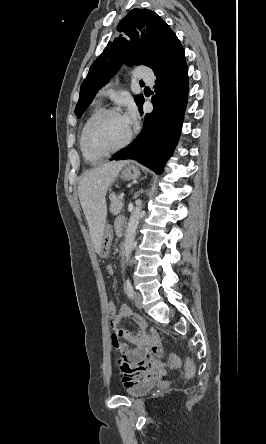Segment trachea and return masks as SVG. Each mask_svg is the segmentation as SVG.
<instances>
[{"mask_svg": "<svg viewBox=\"0 0 266 444\" xmlns=\"http://www.w3.org/2000/svg\"><path fill=\"white\" fill-rule=\"evenodd\" d=\"M140 83H141V84H144V82H143L142 80L140 81Z\"/></svg>", "mask_w": 266, "mask_h": 444, "instance_id": "1", "label": "trachea"}]
</instances>
